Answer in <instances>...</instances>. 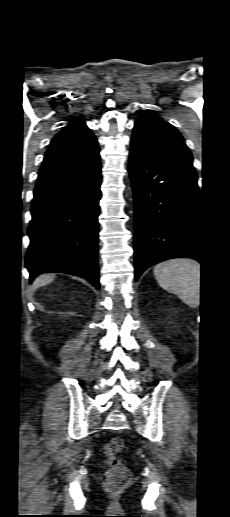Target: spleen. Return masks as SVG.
Instances as JSON below:
<instances>
[{
    "mask_svg": "<svg viewBox=\"0 0 230 517\" xmlns=\"http://www.w3.org/2000/svg\"><path fill=\"white\" fill-rule=\"evenodd\" d=\"M154 276L166 291L177 295L185 304L200 303V264L191 259H174L158 264Z\"/></svg>",
    "mask_w": 230,
    "mask_h": 517,
    "instance_id": "obj_1",
    "label": "spleen"
}]
</instances>
